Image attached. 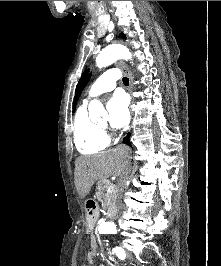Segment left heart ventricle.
Listing matches in <instances>:
<instances>
[{
    "label": "left heart ventricle",
    "instance_id": "b2bd125f",
    "mask_svg": "<svg viewBox=\"0 0 221 266\" xmlns=\"http://www.w3.org/2000/svg\"><path fill=\"white\" fill-rule=\"evenodd\" d=\"M106 124H107L106 121H103V122L101 123V125H104V126H106Z\"/></svg>",
    "mask_w": 221,
    "mask_h": 266
}]
</instances>
